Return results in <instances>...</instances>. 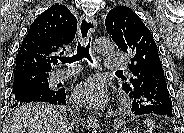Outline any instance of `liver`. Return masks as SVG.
Wrapping results in <instances>:
<instances>
[{
    "mask_svg": "<svg viewBox=\"0 0 184 133\" xmlns=\"http://www.w3.org/2000/svg\"><path fill=\"white\" fill-rule=\"evenodd\" d=\"M63 116L46 103H29L8 118L5 133H68Z\"/></svg>",
    "mask_w": 184,
    "mask_h": 133,
    "instance_id": "1",
    "label": "liver"
}]
</instances>
